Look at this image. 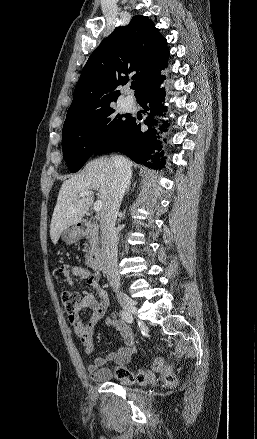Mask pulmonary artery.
Here are the masks:
<instances>
[{
  "label": "pulmonary artery",
  "instance_id": "obj_1",
  "mask_svg": "<svg viewBox=\"0 0 257 439\" xmlns=\"http://www.w3.org/2000/svg\"><path fill=\"white\" fill-rule=\"evenodd\" d=\"M126 109H132L135 106V101L132 98H126L123 102Z\"/></svg>",
  "mask_w": 257,
  "mask_h": 439
}]
</instances>
